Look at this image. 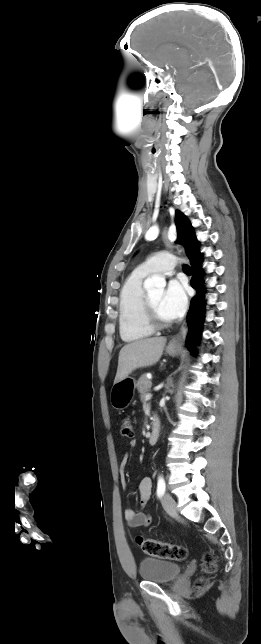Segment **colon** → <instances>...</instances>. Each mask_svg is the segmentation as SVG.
I'll use <instances>...</instances> for the list:
<instances>
[{
	"label": "colon",
	"instance_id": "colon-1",
	"mask_svg": "<svg viewBox=\"0 0 261 644\" xmlns=\"http://www.w3.org/2000/svg\"><path fill=\"white\" fill-rule=\"evenodd\" d=\"M121 434L124 437L132 438L134 436V426L130 418H124L121 423ZM137 543L140 549L147 555L167 560H184L187 556V549L180 545L164 543L161 541L137 537ZM203 567L206 573H213L216 570V557L213 553L207 552L203 556ZM206 584L204 579L196 583V588L200 589Z\"/></svg>",
	"mask_w": 261,
	"mask_h": 644
}]
</instances>
